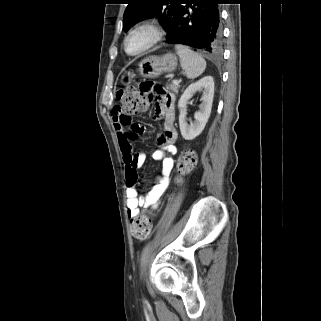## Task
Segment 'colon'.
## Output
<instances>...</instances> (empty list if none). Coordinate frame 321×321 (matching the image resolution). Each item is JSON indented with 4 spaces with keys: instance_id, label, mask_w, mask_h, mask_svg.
<instances>
[{
    "instance_id": "obj_1",
    "label": "colon",
    "mask_w": 321,
    "mask_h": 321,
    "mask_svg": "<svg viewBox=\"0 0 321 321\" xmlns=\"http://www.w3.org/2000/svg\"><path fill=\"white\" fill-rule=\"evenodd\" d=\"M152 83V82H143ZM148 90H138L137 86H131L117 93V99L121 103L119 111L124 115L136 114L145 111L155 96H148ZM196 165V155L193 151H184L177 163V170L180 175L188 174ZM138 174H133L129 179V185L136 186ZM132 235L140 240L148 239L152 233V217L141 215L131 221Z\"/></svg>"
}]
</instances>
